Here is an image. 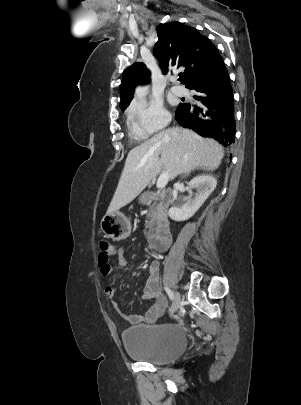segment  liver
<instances>
[{"label": "liver", "instance_id": "liver-1", "mask_svg": "<svg viewBox=\"0 0 301 405\" xmlns=\"http://www.w3.org/2000/svg\"><path fill=\"white\" fill-rule=\"evenodd\" d=\"M223 157V147L213 139L182 128L163 130L128 153L107 213L132 202L161 170L172 180L194 169L213 171Z\"/></svg>", "mask_w": 301, "mask_h": 405}]
</instances>
